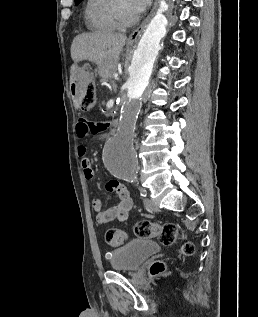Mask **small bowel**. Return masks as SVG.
Here are the masks:
<instances>
[{
    "mask_svg": "<svg viewBox=\"0 0 258 317\" xmlns=\"http://www.w3.org/2000/svg\"><path fill=\"white\" fill-rule=\"evenodd\" d=\"M110 127L109 122L92 123L85 119H79L76 123V136L79 140L85 139L90 133L97 134ZM78 156L83 170L84 177L91 180L94 177V170L91 162L86 155L87 149L84 145H79ZM106 190L110 193H115L118 198V203L108 209H103V204L100 199H94L93 208L97 212V222L99 224H106L114 220L123 221L128 217L132 208L133 202L127 188L117 182L109 181L106 184Z\"/></svg>",
    "mask_w": 258,
    "mask_h": 317,
    "instance_id": "obj_1",
    "label": "small bowel"
}]
</instances>
